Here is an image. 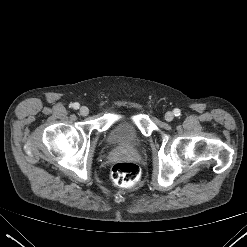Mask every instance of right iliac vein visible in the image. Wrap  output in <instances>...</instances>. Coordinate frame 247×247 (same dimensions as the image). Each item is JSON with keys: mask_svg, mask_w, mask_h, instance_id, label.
<instances>
[{"mask_svg": "<svg viewBox=\"0 0 247 247\" xmlns=\"http://www.w3.org/2000/svg\"><path fill=\"white\" fill-rule=\"evenodd\" d=\"M79 112L82 116H87L89 114V109L86 106H82Z\"/></svg>", "mask_w": 247, "mask_h": 247, "instance_id": "right-iliac-vein-1", "label": "right iliac vein"}]
</instances>
